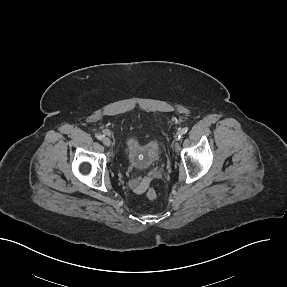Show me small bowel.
<instances>
[{"instance_id": "obj_1", "label": "small bowel", "mask_w": 287, "mask_h": 287, "mask_svg": "<svg viewBox=\"0 0 287 287\" xmlns=\"http://www.w3.org/2000/svg\"><path fill=\"white\" fill-rule=\"evenodd\" d=\"M145 188H146V184L145 183H141V184H139V185H137L135 187V191L137 193H142V192H144Z\"/></svg>"}]
</instances>
